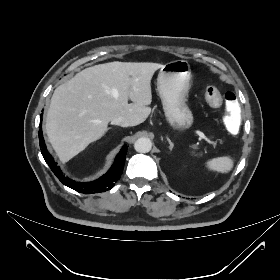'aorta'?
Segmentation results:
<instances>
[{
    "label": "aorta",
    "mask_w": 280,
    "mask_h": 280,
    "mask_svg": "<svg viewBox=\"0 0 280 280\" xmlns=\"http://www.w3.org/2000/svg\"><path fill=\"white\" fill-rule=\"evenodd\" d=\"M152 148V142L149 138L141 137L134 143V149L138 153H148Z\"/></svg>",
    "instance_id": "762f6f07"
}]
</instances>
